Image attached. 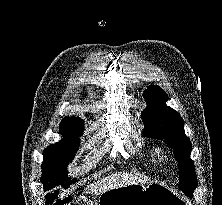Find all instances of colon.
Masks as SVG:
<instances>
[{
	"label": "colon",
	"instance_id": "5ec220e1",
	"mask_svg": "<svg viewBox=\"0 0 222 205\" xmlns=\"http://www.w3.org/2000/svg\"><path fill=\"white\" fill-rule=\"evenodd\" d=\"M45 205H75L67 198H60L56 193H47L45 196Z\"/></svg>",
	"mask_w": 222,
	"mask_h": 205
}]
</instances>
